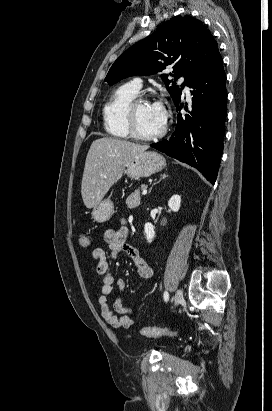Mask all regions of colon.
I'll list each match as a JSON object with an SVG mask.
<instances>
[{"instance_id": "obj_1", "label": "colon", "mask_w": 272, "mask_h": 411, "mask_svg": "<svg viewBox=\"0 0 272 411\" xmlns=\"http://www.w3.org/2000/svg\"><path fill=\"white\" fill-rule=\"evenodd\" d=\"M79 244L82 248H87L90 246L91 241L88 236H81L79 238ZM140 333L142 336L147 338H158V337H174L176 333L169 328L166 327H142L140 329Z\"/></svg>"}]
</instances>
